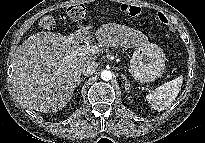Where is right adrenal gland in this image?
<instances>
[{
    "instance_id": "right-adrenal-gland-1",
    "label": "right adrenal gland",
    "mask_w": 205,
    "mask_h": 143,
    "mask_svg": "<svg viewBox=\"0 0 205 143\" xmlns=\"http://www.w3.org/2000/svg\"><path fill=\"white\" fill-rule=\"evenodd\" d=\"M85 81V78H80L79 81L77 82L76 86H79L81 82Z\"/></svg>"
}]
</instances>
